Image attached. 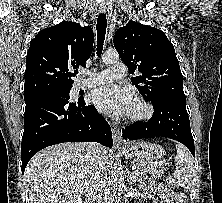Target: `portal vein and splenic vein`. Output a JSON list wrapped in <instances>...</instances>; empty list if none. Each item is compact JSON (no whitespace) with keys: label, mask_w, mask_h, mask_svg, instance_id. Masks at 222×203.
Wrapping results in <instances>:
<instances>
[{"label":"portal vein and splenic vein","mask_w":222,"mask_h":203,"mask_svg":"<svg viewBox=\"0 0 222 203\" xmlns=\"http://www.w3.org/2000/svg\"><path fill=\"white\" fill-rule=\"evenodd\" d=\"M133 168H136V166H135V165H133Z\"/></svg>","instance_id":"obj_1"}]
</instances>
